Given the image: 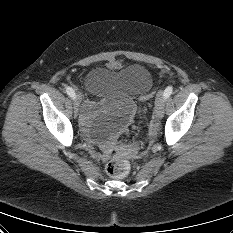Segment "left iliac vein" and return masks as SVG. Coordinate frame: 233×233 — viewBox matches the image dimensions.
Segmentation results:
<instances>
[{"instance_id":"obj_1","label":"left iliac vein","mask_w":233,"mask_h":233,"mask_svg":"<svg viewBox=\"0 0 233 233\" xmlns=\"http://www.w3.org/2000/svg\"><path fill=\"white\" fill-rule=\"evenodd\" d=\"M165 98L164 93L160 91L155 99V115L162 118L164 115Z\"/></svg>"}]
</instances>
